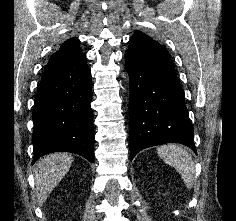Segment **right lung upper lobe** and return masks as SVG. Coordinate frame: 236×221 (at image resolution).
Listing matches in <instances>:
<instances>
[{
	"instance_id": "right-lung-upper-lobe-1",
	"label": "right lung upper lobe",
	"mask_w": 236,
	"mask_h": 221,
	"mask_svg": "<svg viewBox=\"0 0 236 221\" xmlns=\"http://www.w3.org/2000/svg\"><path fill=\"white\" fill-rule=\"evenodd\" d=\"M83 57L85 55L79 48V40L70 38L61 45L58 51L52 54L45 69L79 60Z\"/></svg>"
}]
</instances>
